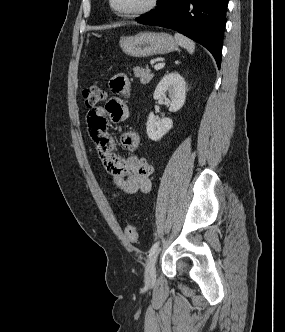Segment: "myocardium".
<instances>
[{
  "label": "myocardium",
  "instance_id": "f54148a6",
  "mask_svg": "<svg viewBox=\"0 0 285 332\" xmlns=\"http://www.w3.org/2000/svg\"><path fill=\"white\" fill-rule=\"evenodd\" d=\"M159 0H148V3L138 9L130 10V11H121L114 6V0H108V5L111 11L118 17L124 19H132L147 15L154 11L158 6Z\"/></svg>",
  "mask_w": 285,
  "mask_h": 332
}]
</instances>
